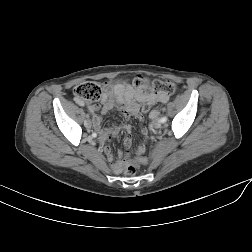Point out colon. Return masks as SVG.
Segmentation results:
<instances>
[{
  "instance_id": "1",
  "label": "colon",
  "mask_w": 252,
  "mask_h": 252,
  "mask_svg": "<svg viewBox=\"0 0 252 252\" xmlns=\"http://www.w3.org/2000/svg\"><path fill=\"white\" fill-rule=\"evenodd\" d=\"M133 85L141 90L152 92L155 94L166 93L172 94L176 91V84L169 80H155L151 85L148 79L142 75L134 78ZM74 94L77 99L81 101L95 102L102 98L101 87L94 82H84L77 85L74 89ZM150 107L147 106L145 111H149ZM137 166L135 164H127L125 167V173L132 176L136 173Z\"/></svg>"
}]
</instances>
